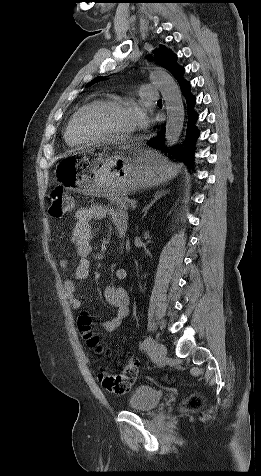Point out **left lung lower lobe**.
<instances>
[{"label":"left lung lower lobe","mask_w":261,"mask_h":476,"mask_svg":"<svg viewBox=\"0 0 261 476\" xmlns=\"http://www.w3.org/2000/svg\"><path fill=\"white\" fill-rule=\"evenodd\" d=\"M184 69H182L176 76L177 81L179 82L183 94L187 98L189 111L191 112V118L188 121L187 125V135L186 140L184 141V147L178 150L177 148H168L165 145V129L157 134L156 137L152 138L148 145L153 149L164 151L168 153L169 156L176 157L179 161L187 164L188 167L193 168V145L198 137V130L194 127V124L197 120V113L191 111V107L195 103V97L188 93L190 90V83L183 79L182 74Z\"/></svg>","instance_id":"obj_1"}]
</instances>
